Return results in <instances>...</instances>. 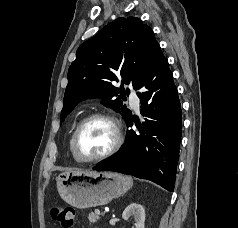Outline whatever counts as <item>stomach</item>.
<instances>
[{
  "mask_svg": "<svg viewBox=\"0 0 238 228\" xmlns=\"http://www.w3.org/2000/svg\"><path fill=\"white\" fill-rule=\"evenodd\" d=\"M56 183L66 203L85 209L108 204L116 196L126 193L133 180L115 172L67 171L58 175Z\"/></svg>",
  "mask_w": 238,
  "mask_h": 228,
  "instance_id": "obj_1",
  "label": "stomach"
}]
</instances>
